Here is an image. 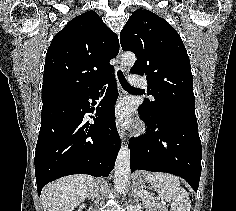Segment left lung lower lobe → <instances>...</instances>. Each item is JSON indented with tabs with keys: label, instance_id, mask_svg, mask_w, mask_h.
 <instances>
[{
	"label": "left lung lower lobe",
	"instance_id": "0a47b994",
	"mask_svg": "<svg viewBox=\"0 0 236 211\" xmlns=\"http://www.w3.org/2000/svg\"><path fill=\"white\" fill-rule=\"evenodd\" d=\"M138 111L149 130L145 136L129 142L131 172H166L184 178L197 192L201 175V141L197 119L173 118L165 114L151 116Z\"/></svg>",
	"mask_w": 236,
	"mask_h": 211
}]
</instances>
